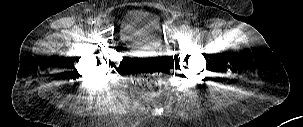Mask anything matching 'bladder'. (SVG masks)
I'll return each instance as SVG.
<instances>
[{"label":"bladder","instance_id":"31cf9c89","mask_svg":"<svg viewBox=\"0 0 303 127\" xmlns=\"http://www.w3.org/2000/svg\"><path fill=\"white\" fill-rule=\"evenodd\" d=\"M119 35L122 42L128 46L160 47L162 45L160 18L147 9H131L120 21Z\"/></svg>","mask_w":303,"mask_h":127}]
</instances>
